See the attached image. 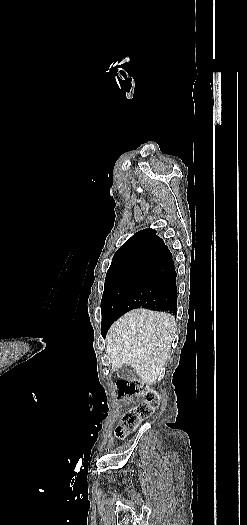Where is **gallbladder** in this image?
<instances>
[{
  "label": "gallbladder",
  "instance_id": "bac80fb5",
  "mask_svg": "<svg viewBox=\"0 0 247 525\" xmlns=\"http://www.w3.org/2000/svg\"><path fill=\"white\" fill-rule=\"evenodd\" d=\"M117 377L119 379H127L129 381L136 379L134 367L131 365H123L122 367H120Z\"/></svg>",
  "mask_w": 247,
  "mask_h": 525
}]
</instances>
